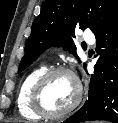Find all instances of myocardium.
<instances>
[{"label": "myocardium", "instance_id": "f54148a6", "mask_svg": "<svg viewBox=\"0 0 118 123\" xmlns=\"http://www.w3.org/2000/svg\"><path fill=\"white\" fill-rule=\"evenodd\" d=\"M61 73L69 75L75 82L76 96L73 102L65 109L61 111H51L43 103L42 98L43 91L48 81L54 75ZM82 96H83L82 83L77 74L71 68L65 66L52 67L47 69L35 82L31 92V107L36 113H38L42 117L50 119H59L72 112L80 104Z\"/></svg>", "mask_w": 118, "mask_h": 123}]
</instances>
